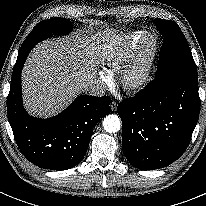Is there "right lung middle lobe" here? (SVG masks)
<instances>
[{
	"instance_id": "dd1d6c3e",
	"label": "right lung middle lobe",
	"mask_w": 206,
	"mask_h": 206,
	"mask_svg": "<svg viewBox=\"0 0 206 206\" xmlns=\"http://www.w3.org/2000/svg\"><path fill=\"white\" fill-rule=\"evenodd\" d=\"M71 26V21L63 18H52L40 22L34 27L22 44L18 57L26 50H31L35 44L50 37L52 34L63 35L69 33L72 29Z\"/></svg>"
}]
</instances>
